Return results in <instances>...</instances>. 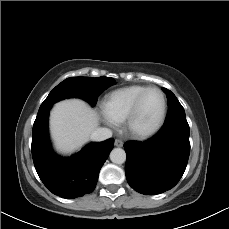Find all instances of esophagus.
<instances>
[{
    "instance_id": "1",
    "label": "esophagus",
    "mask_w": 229,
    "mask_h": 229,
    "mask_svg": "<svg viewBox=\"0 0 229 229\" xmlns=\"http://www.w3.org/2000/svg\"><path fill=\"white\" fill-rule=\"evenodd\" d=\"M114 145L116 147H122L123 146V142L119 139H116L115 142H114Z\"/></svg>"
}]
</instances>
